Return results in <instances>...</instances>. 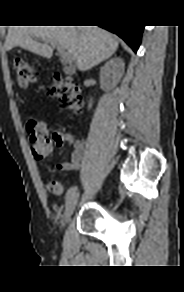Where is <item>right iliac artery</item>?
Returning <instances> with one entry per match:
<instances>
[{
	"instance_id": "right-iliac-artery-1",
	"label": "right iliac artery",
	"mask_w": 184,
	"mask_h": 292,
	"mask_svg": "<svg viewBox=\"0 0 184 292\" xmlns=\"http://www.w3.org/2000/svg\"><path fill=\"white\" fill-rule=\"evenodd\" d=\"M77 191V187H71L66 193V200H68Z\"/></svg>"
}]
</instances>
